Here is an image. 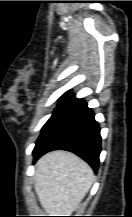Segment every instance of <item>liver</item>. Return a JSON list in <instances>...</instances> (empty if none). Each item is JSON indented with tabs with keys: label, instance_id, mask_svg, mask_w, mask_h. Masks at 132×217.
<instances>
[{
	"label": "liver",
	"instance_id": "obj_1",
	"mask_svg": "<svg viewBox=\"0 0 132 217\" xmlns=\"http://www.w3.org/2000/svg\"><path fill=\"white\" fill-rule=\"evenodd\" d=\"M94 182L92 168L67 151H52L36 163L35 192L51 216H70Z\"/></svg>",
	"mask_w": 132,
	"mask_h": 217
}]
</instances>
